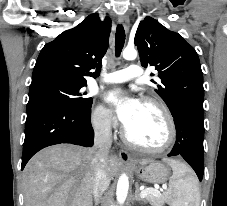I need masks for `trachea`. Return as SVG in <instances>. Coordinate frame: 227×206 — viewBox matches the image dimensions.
<instances>
[{
	"instance_id": "1",
	"label": "trachea",
	"mask_w": 227,
	"mask_h": 206,
	"mask_svg": "<svg viewBox=\"0 0 227 206\" xmlns=\"http://www.w3.org/2000/svg\"><path fill=\"white\" fill-rule=\"evenodd\" d=\"M124 43H125L124 27L122 25H118L115 36V54L117 57L120 56Z\"/></svg>"
}]
</instances>
